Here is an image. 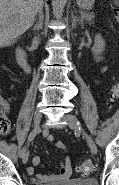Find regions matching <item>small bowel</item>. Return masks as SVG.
<instances>
[{
  "label": "small bowel",
  "instance_id": "c3829d8e",
  "mask_svg": "<svg viewBox=\"0 0 119 185\" xmlns=\"http://www.w3.org/2000/svg\"><path fill=\"white\" fill-rule=\"evenodd\" d=\"M5 109L8 110V106L6 104H5ZM48 140L50 142H54L55 146L64 152L65 157L61 163V167L58 172L51 173L48 175L36 174L37 179L43 183H51V182L66 180L70 178L72 174V168H71V163H70V158H69L67 147L61 141H54V138L52 135L48 136ZM39 164H40V157L36 155L32 159V165L27 168L28 174L34 175L36 172V167Z\"/></svg>",
  "mask_w": 119,
  "mask_h": 185
}]
</instances>
